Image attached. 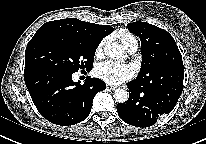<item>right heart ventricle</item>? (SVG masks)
I'll list each match as a JSON object with an SVG mask.
<instances>
[{"label":"right heart ventricle","mask_w":206,"mask_h":144,"mask_svg":"<svg viewBox=\"0 0 206 144\" xmlns=\"http://www.w3.org/2000/svg\"><path fill=\"white\" fill-rule=\"evenodd\" d=\"M117 37L120 39L124 47L128 50L132 46L138 47V41L134 35L128 31L121 30L117 33Z\"/></svg>","instance_id":"right-heart-ventricle-1"}]
</instances>
